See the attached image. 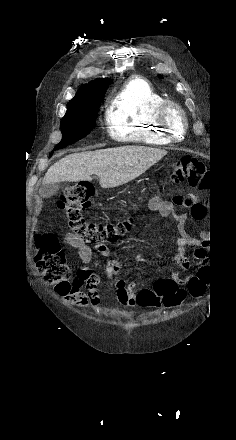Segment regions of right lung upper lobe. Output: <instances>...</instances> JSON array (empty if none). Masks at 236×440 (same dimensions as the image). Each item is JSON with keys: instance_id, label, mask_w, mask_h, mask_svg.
I'll use <instances>...</instances> for the list:
<instances>
[{"instance_id": "1", "label": "right lung upper lobe", "mask_w": 236, "mask_h": 440, "mask_svg": "<svg viewBox=\"0 0 236 440\" xmlns=\"http://www.w3.org/2000/svg\"><path fill=\"white\" fill-rule=\"evenodd\" d=\"M110 83L111 80L105 78L91 81L89 84H84L79 88L75 97L70 100V102L104 95Z\"/></svg>"}]
</instances>
